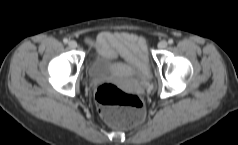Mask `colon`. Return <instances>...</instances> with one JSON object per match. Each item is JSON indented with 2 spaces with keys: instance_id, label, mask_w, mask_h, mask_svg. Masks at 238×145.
I'll list each match as a JSON object with an SVG mask.
<instances>
[{
  "instance_id": "obj_1",
  "label": "colon",
  "mask_w": 238,
  "mask_h": 145,
  "mask_svg": "<svg viewBox=\"0 0 238 145\" xmlns=\"http://www.w3.org/2000/svg\"><path fill=\"white\" fill-rule=\"evenodd\" d=\"M95 100L102 117L115 126L128 128L144 119L143 99L113 83L100 85L96 90Z\"/></svg>"
}]
</instances>
